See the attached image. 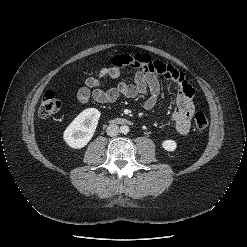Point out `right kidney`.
Wrapping results in <instances>:
<instances>
[{"instance_id": "1", "label": "right kidney", "mask_w": 247, "mask_h": 247, "mask_svg": "<svg viewBox=\"0 0 247 247\" xmlns=\"http://www.w3.org/2000/svg\"><path fill=\"white\" fill-rule=\"evenodd\" d=\"M100 115L96 108L82 111L64 131L63 138L67 145L74 149L85 147L94 135Z\"/></svg>"}]
</instances>
